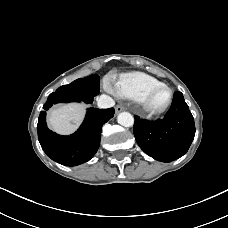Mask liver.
I'll return each mask as SVG.
<instances>
[{
  "instance_id": "liver-1",
  "label": "liver",
  "mask_w": 228,
  "mask_h": 228,
  "mask_svg": "<svg viewBox=\"0 0 228 228\" xmlns=\"http://www.w3.org/2000/svg\"><path fill=\"white\" fill-rule=\"evenodd\" d=\"M87 105L68 104L50 111L48 122L52 130L62 135L76 131L81 124Z\"/></svg>"
}]
</instances>
